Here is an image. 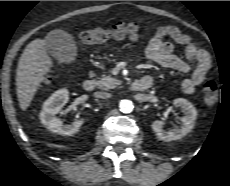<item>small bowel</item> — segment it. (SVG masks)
<instances>
[{
    "label": "small bowel",
    "mask_w": 230,
    "mask_h": 186,
    "mask_svg": "<svg viewBox=\"0 0 230 186\" xmlns=\"http://www.w3.org/2000/svg\"><path fill=\"white\" fill-rule=\"evenodd\" d=\"M166 38L184 46L185 58L174 54V46L166 41ZM145 53L150 60L162 67L190 73V76L181 83V90L186 94L193 93L204 81L211 66L209 54L174 25L157 27L146 45Z\"/></svg>",
    "instance_id": "obj_1"
}]
</instances>
